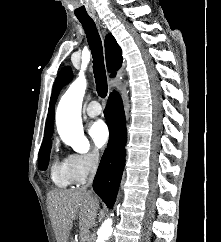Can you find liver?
Listing matches in <instances>:
<instances>
[{
    "instance_id": "liver-1",
    "label": "liver",
    "mask_w": 221,
    "mask_h": 242,
    "mask_svg": "<svg viewBox=\"0 0 221 242\" xmlns=\"http://www.w3.org/2000/svg\"><path fill=\"white\" fill-rule=\"evenodd\" d=\"M47 204L57 242L73 241L70 238L73 220L78 221L82 230L91 228L99 208L98 198L83 189L51 191L47 196Z\"/></svg>"
}]
</instances>
